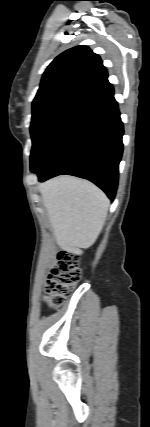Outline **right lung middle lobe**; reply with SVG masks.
Masks as SVG:
<instances>
[{"label":"right lung middle lobe","instance_id":"1","mask_svg":"<svg viewBox=\"0 0 150 427\" xmlns=\"http://www.w3.org/2000/svg\"><path fill=\"white\" fill-rule=\"evenodd\" d=\"M79 110L80 108L71 106H51L32 113V172L35 173L54 141Z\"/></svg>","mask_w":150,"mask_h":427}]
</instances>
